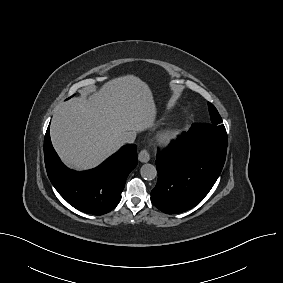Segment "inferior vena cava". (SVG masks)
I'll use <instances>...</instances> for the list:
<instances>
[{
    "label": "inferior vena cava",
    "mask_w": 283,
    "mask_h": 283,
    "mask_svg": "<svg viewBox=\"0 0 283 283\" xmlns=\"http://www.w3.org/2000/svg\"><path fill=\"white\" fill-rule=\"evenodd\" d=\"M136 138V133L133 131H129V132H124L123 134H121V136L119 137V142L121 144L124 143H133L135 141Z\"/></svg>",
    "instance_id": "obj_1"
}]
</instances>
